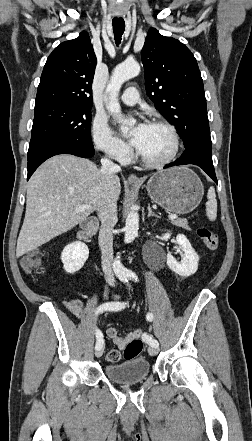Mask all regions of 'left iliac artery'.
<instances>
[{
  "instance_id": "left-iliac-artery-1",
  "label": "left iliac artery",
  "mask_w": 252,
  "mask_h": 441,
  "mask_svg": "<svg viewBox=\"0 0 252 441\" xmlns=\"http://www.w3.org/2000/svg\"><path fill=\"white\" fill-rule=\"evenodd\" d=\"M129 276L133 280L138 281V277H137V275L135 273L132 272V273H130ZM146 318H147L148 321L151 322L154 317H153L152 313L148 312L147 315H146ZM140 339H141V341L148 343L150 346H154V347H158L159 346L158 341L151 336V333L148 330L142 331Z\"/></svg>"
}]
</instances>
